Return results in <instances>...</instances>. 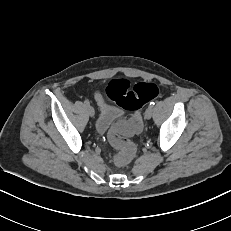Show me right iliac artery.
<instances>
[{"mask_svg":"<svg viewBox=\"0 0 231 231\" xmlns=\"http://www.w3.org/2000/svg\"><path fill=\"white\" fill-rule=\"evenodd\" d=\"M84 105H85V106H89V105H90L89 101H88V100H85V101H84Z\"/></svg>","mask_w":231,"mask_h":231,"instance_id":"1","label":"right iliac artery"}]
</instances>
